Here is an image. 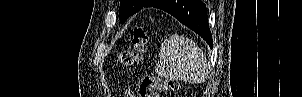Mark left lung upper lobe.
<instances>
[{
  "label": "left lung upper lobe",
  "instance_id": "left-lung-upper-lobe-1",
  "mask_svg": "<svg viewBox=\"0 0 302 97\" xmlns=\"http://www.w3.org/2000/svg\"><path fill=\"white\" fill-rule=\"evenodd\" d=\"M154 0H120L119 20L124 23L127 18L144 7H148Z\"/></svg>",
  "mask_w": 302,
  "mask_h": 97
}]
</instances>
